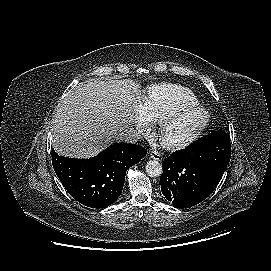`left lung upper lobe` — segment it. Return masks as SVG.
<instances>
[{"mask_svg": "<svg viewBox=\"0 0 271 271\" xmlns=\"http://www.w3.org/2000/svg\"><path fill=\"white\" fill-rule=\"evenodd\" d=\"M194 146V156L225 172L231 157L230 136L227 133L214 143H196Z\"/></svg>", "mask_w": 271, "mask_h": 271, "instance_id": "1", "label": "left lung upper lobe"}]
</instances>
